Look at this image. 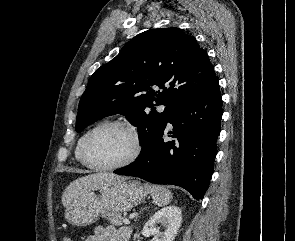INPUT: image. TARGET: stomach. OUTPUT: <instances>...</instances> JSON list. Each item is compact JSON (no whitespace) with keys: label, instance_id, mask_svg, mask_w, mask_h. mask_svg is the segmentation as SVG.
Segmentation results:
<instances>
[{"label":"stomach","instance_id":"1","mask_svg":"<svg viewBox=\"0 0 295 241\" xmlns=\"http://www.w3.org/2000/svg\"><path fill=\"white\" fill-rule=\"evenodd\" d=\"M94 191L86 192L66 207L65 219L74 226H87L95 223L106 212H127L143 202L146 188L136 180H121Z\"/></svg>","mask_w":295,"mask_h":241}]
</instances>
